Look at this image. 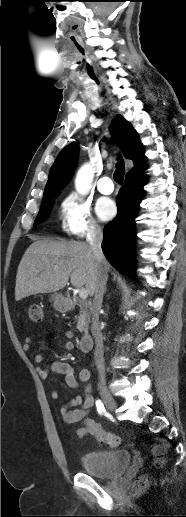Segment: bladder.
Wrapping results in <instances>:
<instances>
[{"instance_id": "1", "label": "bladder", "mask_w": 186, "mask_h": 517, "mask_svg": "<svg viewBox=\"0 0 186 517\" xmlns=\"http://www.w3.org/2000/svg\"><path fill=\"white\" fill-rule=\"evenodd\" d=\"M131 454L128 450L113 452H90L82 456L83 470L96 478L109 479L121 475L129 466Z\"/></svg>"}]
</instances>
